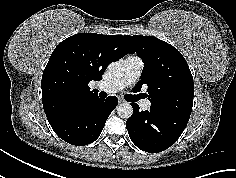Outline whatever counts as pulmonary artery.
Here are the masks:
<instances>
[{
	"label": "pulmonary artery",
	"mask_w": 236,
	"mask_h": 178,
	"mask_svg": "<svg viewBox=\"0 0 236 178\" xmlns=\"http://www.w3.org/2000/svg\"><path fill=\"white\" fill-rule=\"evenodd\" d=\"M143 66V61L139 57L129 56L124 60L125 72L123 77L110 82L102 83L98 86V88L106 93H116L124 87L136 82L143 71ZM140 106L142 109L147 110L150 108L151 102L148 99H142L140 101Z\"/></svg>",
	"instance_id": "1"
}]
</instances>
